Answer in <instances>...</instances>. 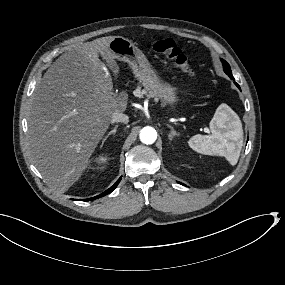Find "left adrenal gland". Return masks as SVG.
<instances>
[{
	"instance_id": "obj_1",
	"label": "left adrenal gland",
	"mask_w": 285,
	"mask_h": 285,
	"mask_svg": "<svg viewBox=\"0 0 285 285\" xmlns=\"http://www.w3.org/2000/svg\"><path fill=\"white\" fill-rule=\"evenodd\" d=\"M167 127H169L171 130V132L168 135L170 141L173 139L174 136H179V133H177L171 125L167 124Z\"/></svg>"
}]
</instances>
